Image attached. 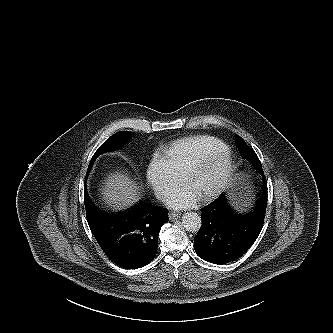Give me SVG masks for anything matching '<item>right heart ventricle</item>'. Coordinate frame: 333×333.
Here are the masks:
<instances>
[{
    "label": "right heart ventricle",
    "instance_id": "1",
    "mask_svg": "<svg viewBox=\"0 0 333 333\" xmlns=\"http://www.w3.org/2000/svg\"><path fill=\"white\" fill-rule=\"evenodd\" d=\"M224 146L221 140L213 136H191L170 143L162 150V157L175 175L183 177L195 161Z\"/></svg>",
    "mask_w": 333,
    "mask_h": 333
}]
</instances>
